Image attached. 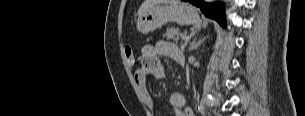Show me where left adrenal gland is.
<instances>
[{"mask_svg":"<svg viewBox=\"0 0 305 116\" xmlns=\"http://www.w3.org/2000/svg\"><path fill=\"white\" fill-rule=\"evenodd\" d=\"M202 40H199L198 42H196V39H194L191 43H190V47H189V51L193 50V49H197V47L201 44ZM188 42V41H187ZM186 44V43H185ZM186 46V45H185Z\"/></svg>","mask_w":305,"mask_h":116,"instance_id":"1","label":"left adrenal gland"}]
</instances>
